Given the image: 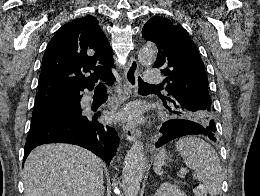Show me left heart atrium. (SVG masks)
I'll list each match as a JSON object with an SVG mask.
<instances>
[{"mask_svg":"<svg viewBox=\"0 0 260 196\" xmlns=\"http://www.w3.org/2000/svg\"><path fill=\"white\" fill-rule=\"evenodd\" d=\"M121 117L129 122H139L141 120V109L138 104L127 105L121 112Z\"/></svg>","mask_w":260,"mask_h":196,"instance_id":"39dd6f15","label":"left heart atrium"}]
</instances>
